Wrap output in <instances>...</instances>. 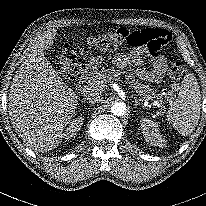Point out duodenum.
Here are the masks:
<instances>
[{
    "mask_svg": "<svg viewBox=\"0 0 206 206\" xmlns=\"http://www.w3.org/2000/svg\"><path fill=\"white\" fill-rule=\"evenodd\" d=\"M87 72V68H85L83 65H77L76 66V78L77 80L82 79Z\"/></svg>",
    "mask_w": 206,
    "mask_h": 206,
    "instance_id": "410a0bca",
    "label": "duodenum"
}]
</instances>
